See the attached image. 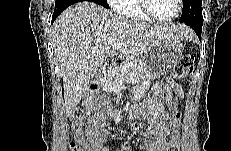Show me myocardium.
I'll return each mask as SVG.
<instances>
[{
    "mask_svg": "<svg viewBox=\"0 0 231 151\" xmlns=\"http://www.w3.org/2000/svg\"><path fill=\"white\" fill-rule=\"evenodd\" d=\"M182 5L183 1L182 0H176V6L177 10L176 12L169 18L166 19H160L154 17L149 10V0H139V8L142 13V15L150 22L157 23V24H169L173 22L175 19L178 18L182 11Z\"/></svg>",
    "mask_w": 231,
    "mask_h": 151,
    "instance_id": "myocardium-1",
    "label": "myocardium"
}]
</instances>
